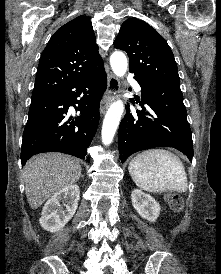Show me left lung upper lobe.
<instances>
[{
    "instance_id": "left-lung-upper-lobe-1",
    "label": "left lung upper lobe",
    "mask_w": 221,
    "mask_h": 274,
    "mask_svg": "<svg viewBox=\"0 0 221 274\" xmlns=\"http://www.w3.org/2000/svg\"><path fill=\"white\" fill-rule=\"evenodd\" d=\"M114 46L127 52L131 73L147 78L159 91L182 95L174 55L166 40L149 24L127 19Z\"/></svg>"
}]
</instances>
